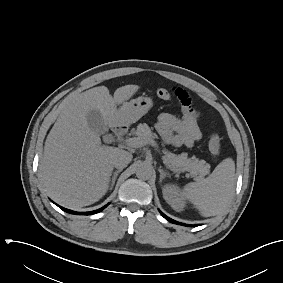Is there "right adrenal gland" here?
Returning <instances> with one entry per match:
<instances>
[{
    "mask_svg": "<svg viewBox=\"0 0 283 283\" xmlns=\"http://www.w3.org/2000/svg\"><path fill=\"white\" fill-rule=\"evenodd\" d=\"M122 170L121 169H119V170H117V171H115L114 173H113V175H112V178L110 179V190H112L113 189V187H114V184H115V181H116V179H117V177H118V174L121 172Z\"/></svg>",
    "mask_w": 283,
    "mask_h": 283,
    "instance_id": "1",
    "label": "right adrenal gland"
}]
</instances>
